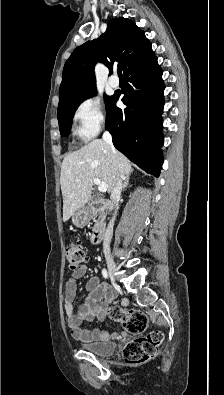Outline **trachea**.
Here are the masks:
<instances>
[{"label":"trachea","instance_id":"1","mask_svg":"<svg viewBox=\"0 0 224 395\" xmlns=\"http://www.w3.org/2000/svg\"><path fill=\"white\" fill-rule=\"evenodd\" d=\"M117 73H118L119 78H123V76H122V68L121 67H118Z\"/></svg>","mask_w":224,"mask_h":395}]
</instances>
